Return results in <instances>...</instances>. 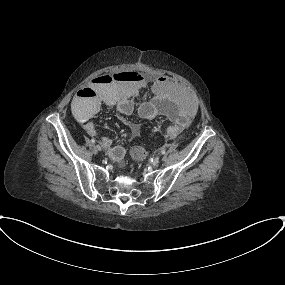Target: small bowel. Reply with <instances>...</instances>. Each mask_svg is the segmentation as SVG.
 <instances>
[{
	"label": "small bowel",
	"mask_w": 285,
	"mask_h": 285,
	"mask_svg": "<svg viewBox=\"0 0 285 285\" xmlns=\"http://www.w3.org/2000/svg\"><path fill=\"white\" fill-rule=\"evenodd\" d=\"M123 73L126 72L101 75L73 97L72 112L84 123L87 132L99 137L96 125L90 119L102 105H106L125 116L136 114L145 119L164 116L173 123L167 129L168 135L177 140L197 113V103L184 84L168 77L149 80L141 74H136V81H129L118 77ZM146 86L150 87L152 96L138 98L139 92ZM89 94L95 95L93 101L88 99ZM130 130L132 139L139 134V126L135 123L130 124ZM99 141L114 161H122L126 154L124 146L113 145L112 140L105 136L99 137Z\"/></svg>",
	"instance_id": "obj_1"
}]
</instances>
